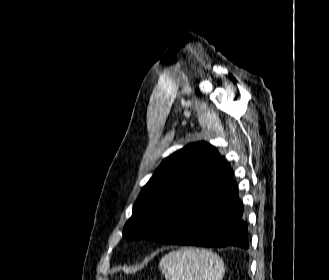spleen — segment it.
Returning a JSON list of instances; mask_svg holds the SVG:
<instances>
[{
    "label": "spleen",
    "mask_w": 329,
    "mask_h": 280,
    "mask_svg": "<svg viewBox=\"0 0 329 280\" xmlns=\"http://www.w3.org/2000/svg\"><path fill=\"white\" fill-rule=\"evenodd\" d=\"M159 268L166 280H222L223 260L211 250L182 247L165 255Z\"/></svg>",
    "instance_id": "obj_1"
}]
</instances>
